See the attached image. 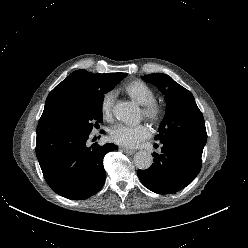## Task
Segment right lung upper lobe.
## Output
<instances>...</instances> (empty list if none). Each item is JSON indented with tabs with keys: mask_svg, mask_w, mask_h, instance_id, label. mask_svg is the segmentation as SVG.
I'll return each instance as SVG.
<instances>
[{
	"mask_svg": "<svg viewBox=\"0 0 248 248\" xmlns=\"http://www.w3.org/2000/svg\"><path fill=\"white\" fill-rule=\"evenodd\" d=\"M113 75L112 73L93 74L85 70L74 71L50 92L40 120L63 109L83 104L87 100L94 82Z\"/></svg>",
	"mask_w": 248,
	"mask_h": 248,
	"instance_id": "right-lung-upper-lobe-1",
	"label": "right lung upper lobe"
}]
</instances>
